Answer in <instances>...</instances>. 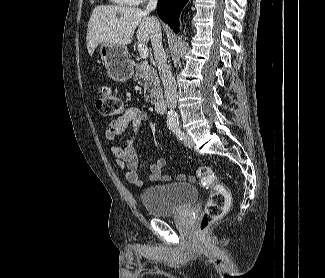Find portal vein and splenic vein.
<instances>
[{
  "mask_svg": "<svg viewBox=\"0 0 325 278\" xmlns=\"http://www.w3.org/2000/svg\"><path fill=\"white\" fill-rule=\"evenodd\" d=\"M138 51H139L140 56L143 59H147L148 58L149 51H148V48H147V46L145 44H143V43L138 44Z\"/></svg>",
  "mask_w": 325,
  "mask_h": 278,
  "instance_id": "portal-vein-and-splenic-vein-1",
  "label": "portal vein and splenic vein"
}]
</instances>
